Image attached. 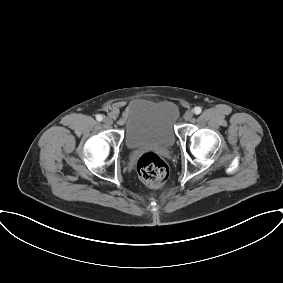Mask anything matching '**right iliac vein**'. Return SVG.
Here are the masks:
<instances>
[{
  "label": "right iliac vein",
  "instance_id": "1",
  "mask_svg": "<svg viewBox=\"0 0 283 283\" xmlns=\"http://www.w3.org/2000/svg\"><path fill=\"white\" fill-rule=\"evenodd\" d=\"M104 124L107 126H111L113 124V120L110 117H105L103 120Z\"/></svg>",
  "mask_w": 283,
  "mask_h": 283
}]
</instances>
